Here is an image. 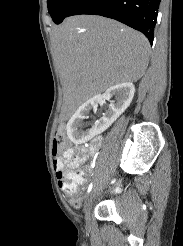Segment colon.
I'll list each match as a JSON object with an SVG mask.
<instances>
[{
    "mask_svg": "<svg viewBox=\"0 0 183 246\" xmlns=\"http://www.w3.org/2000/svg\"><path fill=\"white\" fill-rule=\"evenodd\" d=\"M66 128L63 124L57 125L55 128L53 139V153L55 156L63 155L66 149ZM81 175L78 173H70L68 176L69 188L75 193L77 186L80 184Z\"/></svg>",
    "mask_w": 183,
    "mask_h": 246,
    "instance_id": "5ec220e1",
    "label": "colon"
}]
</instances>
